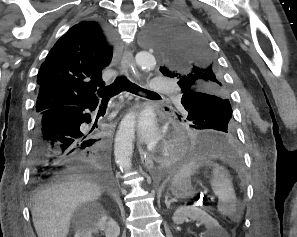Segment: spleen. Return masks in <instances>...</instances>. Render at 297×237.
Wrapping results in <instances>:
<instances>
[{
    "instance_id": "3e777b00",
    "label": "spleen",
    "mask_w": 297,
    "mask_h": 237,
    "mask_svg": "<svg viewBox=\"0 0 297 237\" xmlns=\"http://www.w3.org/2000/svg\"><path fill=\"white\" fill-rule=\"evenodd\" d=\"M213 167L211 188L218 197V211L225 216L232 217L237 210L236 195L226 170L219 164L204 158L202 160L192 159L183 165L174 178V182L182 179H190L201 166Z\"/></svg>"
}]
</instances>
